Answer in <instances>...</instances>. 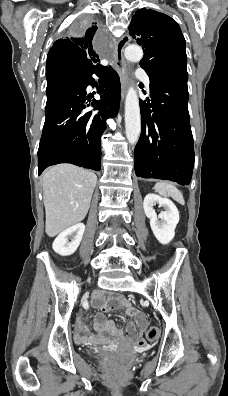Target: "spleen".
<instances>
[{
  "label": "spleen",
  "mask_w": 228,
  "mask_h": 396,
  "mask_svg": "<svg viewBox=\"0 0 228 396\" xmlns=\"http://www.w3.org/2000/svg\"><path fill=\"white\" fill-rule=\"evenodd\" d=\"M155 192L164 197H171L178 203L184 205L185 201L181 192L172 184L167 182H158L154 186Z\"/></svg>",
  "instance_id": "3e777b00"
}]
</instances>
